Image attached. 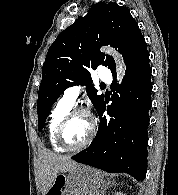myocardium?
Segmentation results:
<instances>
[{
	"label": "myocardium",
	"mask_w": 178,
	"mask_h": 195,
	"mask_svg": "<svg viewBox=\"0 0 178 195\" xmlns=\"http://www.w3.org/2000/svg\"><path fill=\"white\" fill-rule=\"evenodd\" d=\"M77 116L88 117L90 121V132H89L87 139L82 144L72 147V146L67 145L66 142L64 141V132H65V129L68 123ZM95 135H96V124L90 112L83 108H74V109H71L60 121L57 127V130H56L55 138H56V142L58 143V145L61 146L64 150L70 151V152H77L89 146L91 142L93 141Z\"/></svg>",
	"instance_id": "obj_1"
}]
</instances>
